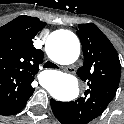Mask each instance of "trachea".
<instances>
[{"label":"trachea","mask_w":124,"mask_h":124,"mask_svg":"<svg viewBox=\"0 0 124 124\" xmlns=\"http://www.w3.org/2000/svg\"><path fill=\"white\" fill-rule=\"evenodd\" d=\"M45 66L48 67V68H55V65L53 63H51V62H47L45 64Z\"/></svg>","instance_id":"3493384b"}]
</instances>
